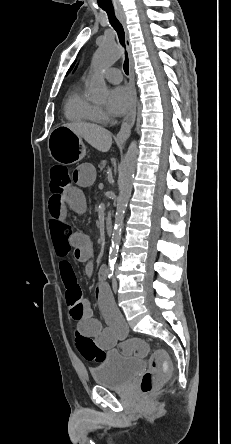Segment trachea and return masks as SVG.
I'll use <instances>...</instances> for the list:
<instances>
[{"instance_id": "3493384b", "label": "trachea", "mask_w": 231, "mask_h": 444, "mask_svg": "<svg viewBox=\"0 0 231 444\" xmlns=\"http://www.w3.org/2000/svg\"><path fill=\"white\" fill-rule=\"evenodd\" d=\"M105 11L108 15V19H109L110 24L112 25V27L116 30V32L118 34L119 41H120L121 45L123 47H125V32H124V28H123L122 24L117 19L114 10H105ZM123 68H124L125 73L128 75L129 74V60H128L127 53H126V58H125Z\"/></svg>"}]
</instances>
